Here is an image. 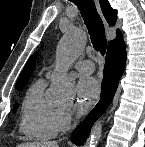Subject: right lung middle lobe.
<instances>
[{
    "instance_id": "obj_1",
    "label": "right lung middle lobe",
    "mask_w": 145,
    "mask_h": 147,
    "mask_svg": "<svg viewBox=\"0 0 145 147\" xmlns=\"http://www.w3.org/2000/svg\"><path fill=\"white\" fill-rule=\"evenodd\" d=\"M18 90H22V89H18ZM17 108H18V104L16 103V104L14 105V112L16 111Z\"/></svg>"
}]
</instances>
